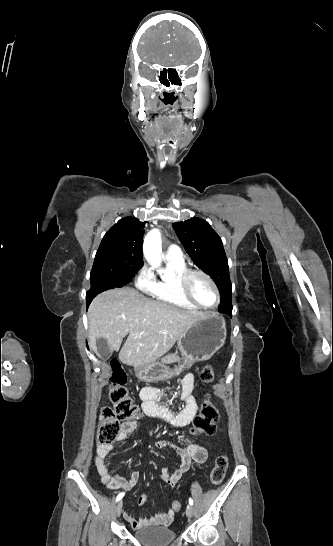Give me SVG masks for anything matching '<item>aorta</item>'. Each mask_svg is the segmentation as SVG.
I'll use <instances>...</instances> for the list:
<instances>
[{
	"label": "aorta",
	"mask_w": 333,
	"mask_h": 546,
	"mask_svg": "<svg viewBox=\"0 0 333 546\" xmlns=\"http://www.w3.org/2000/svg\"><path fill=\"white\" fill-rule=\"evenodd\" d=\"M143 253L146 260L153 266L158 267L162 258L161 234L158 229L151 230L144 239Z\"/></svg>",
	"instance_id": "obj_1"
}]
</instances>
